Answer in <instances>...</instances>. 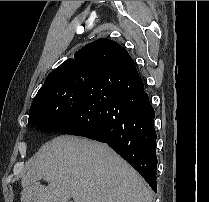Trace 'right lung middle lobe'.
<instances>
[{
	"label": "right lung middle lobe",
	"mask_w": 209,
	"mask_h": 202,
	"mask_svg": "<svg viewBox=\"0 0 209 202\" xmlns=\"http://www.w3.org/2000/svg\"><path fill=\"white\" fill-rule=\"evenodd\" d=\"M94 78L90 74L75 73L49 80L31 104L29 123L46 132L61 130L80 108Z\"/></svg>",
	"instance_id": "right-lung-middle-lobe-1"
}]
</instances>
